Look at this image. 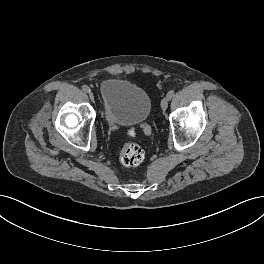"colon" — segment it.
Wrapping results in <instances>:
<instances>
[{"mask_svg":"<svg viewBox=\"0 0 264 264\" xmlns=\"http://www.w3.org/2000/svg\"><path fill=\"white\" fill-rule=\"evenodd\" d=\"M134 134L133 130L129 131V135ZM144 150L136 143H126L120 152V161L125 167H137L144 160Z\"/></svg>","mask_w":264,"mask_h":264,"instance_id":"obj_1","label":"colon"}]
</instances>
